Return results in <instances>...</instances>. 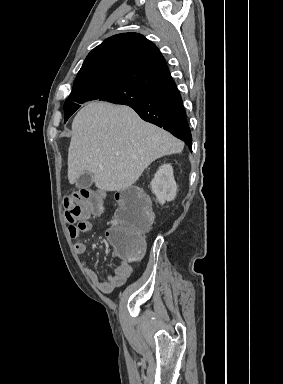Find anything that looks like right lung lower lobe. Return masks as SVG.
I'll return each mask as SVG.
<instances>
[{
  "label": "right lung lower lobe",
  "instance_id": "98d812e1",
  "mask_svg": "<svg viewBox=\"0 0 283 384\" xmlns=\"http://www.w3.org/2000/svg\"><path fill=\"white\" fill-rule=\"evenodd\" d=\"M125 105L133 108L143 120L162 127L183 140L192 150V135L186 112L180 92L173 79L162 83L151 91L146 100Z\"/></svg>",
  "mask_w": 283,
  "mask_h": 384
}]
</instances>
